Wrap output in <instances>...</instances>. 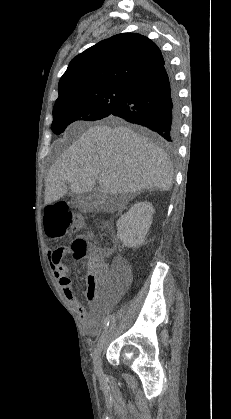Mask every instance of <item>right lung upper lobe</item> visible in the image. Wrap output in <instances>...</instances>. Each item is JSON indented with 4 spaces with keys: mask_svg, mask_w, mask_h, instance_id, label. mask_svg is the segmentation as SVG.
Masks as SVG:
<instances>
[{
    "mask_svg": "<svg viewBox=\"0 0 231 419\" xmlns=\"http://www.w3.org/2000/svg\"><path fill=\"white\" fill-rule=\"evenodd\" d=\"M165 61L160 49L140 34L122 33L74 57L59 81L60 101L75 92L108 86L129 87Z\"/></svg>",
    "mask_w": 231,
    "mask_h": 419,
    "instance_id": "cb5924a9",
    "label": "right lung upper lobe"
}]
</instances>
